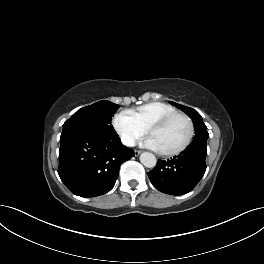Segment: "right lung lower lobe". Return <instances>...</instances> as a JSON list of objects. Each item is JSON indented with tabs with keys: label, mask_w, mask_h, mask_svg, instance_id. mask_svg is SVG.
<instances>
[{
	"label": "right lung lower lobe",
	"mask_w": 264,
	"mask_h": 264,
	"mask_svg": "<svg viewBox=\"0 0 264 264\" xmlns=\"http://www.w3.org/2000/svg\"><path fill=\"white\" fill-rule=\"evenodd\" d=\"M58 174L75 195L95 197L109 192L120 165L134 156L115 133L83 129L63 130L60 137Z\"/></svg>",
	"instance_id": "obj_1"
}]
</instances>
